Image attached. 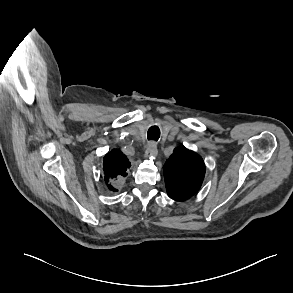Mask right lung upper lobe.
Listing matches in <instances>:
<instances>
[{
    "label": "right lung upper lobe",
    "instance_id": "right-lung-upper-lobe-1",
    "mask_svg": "<svg viewBox=\"0 0 293 293\" xmlns=\"http://www.w3.org/2000/svg\"><path fill=\"white\" fill-rule=\"evenodd\" d=\"M130 167V162L127 157L123 155L119 150L113 149L107 153L103 161L104 179L106 182H113L122 177H126L127 168ZM107 186L112 191H117L111 184L107 183Z\"/></svg>",
    "mask_w": 293,
    "mask_h": 293
}]
</instances>
